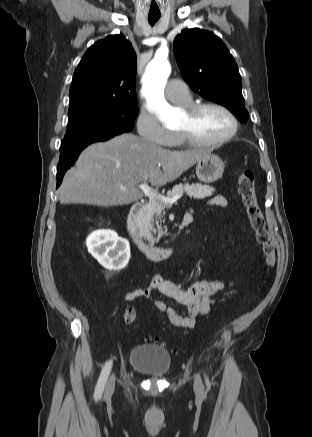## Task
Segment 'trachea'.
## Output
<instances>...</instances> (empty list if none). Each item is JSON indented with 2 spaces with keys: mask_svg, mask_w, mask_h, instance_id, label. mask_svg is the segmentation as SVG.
I'll return each instance as SVG.
<instances>
[{
  "mask_svg": "<svg viewBox=\"0 0 312 437\" xmlns=\"http://www.w3.org/2000/svg\"><path fill=\"white\" fill-rule=\"evenodd\" d=\"M160 18V15H149L148 16V21L150 23V25H154Z\"/></svg>",
  "mask_w": 312,
  "mask_h": 437,
  "instance_id": "trachea-1",
  "label": "trachea"
}]
</instances>
